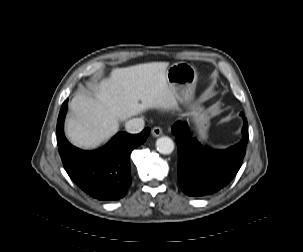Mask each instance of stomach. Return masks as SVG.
<instances>
[{
    "mask_svg": "<svg viewBox=\"0 0 303 252\" xmlns=\"http://www.w3.org/2000/svg\"><path fill=\"white\" fill-rule=\"evenodd\" d=\"M197 76L196 68L185 62L174 63L166 69L168 85L176 98L184 103H188L193 97ZM188 115L195 123L198 139L206 141L209 130V117L206 111L199 106H193Z\"/></svg>",
    "mask_w": 303,
    "mask_h": 252,
    "instance_id": "1",
    "label": "stomach"
}]
</instances>
